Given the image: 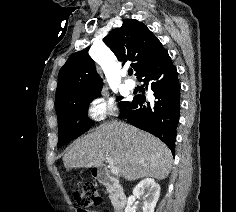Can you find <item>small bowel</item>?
Returning a JSON list of instances; mask_svg holds the SVG:
<instances>
[{"label": "small bowel", "mask_w": 236, "mask_h": 212, "mask_svg": "<svg viewBox=\"0 0 236 212\" xmlns=\"http://www.w3.org/2000/svg\"><path fill=\"white\" fill-rule=\"evenodd\" d=\"M79 212H82V211H79ZM89 212H94V211H89Z\"/></svg>", "instance_id": "obj_1"}]
</instances>
